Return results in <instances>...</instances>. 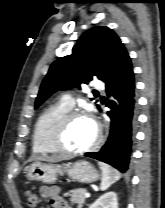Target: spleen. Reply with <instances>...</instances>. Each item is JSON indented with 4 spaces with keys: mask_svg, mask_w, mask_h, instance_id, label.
Segmentation results:
<instances>
[{
    "mask_svg": "<svg viewBox=\"0 0 165 208\" xmlns=\"http://www.w3.org/2000/svg\"><path fill=\"white\" fill-rule=\"evenodd\" d=\"M99 167L102 170L100 190L104 191L108 189L113 183L118 181L121 175L116 169L112 168L106 163L99 162Z\"/></svg>",
    "mask_w": 165,
    "mask_h": 208,
    "instance_id": "1",
    "label": "spleen"
}]
</instances>
